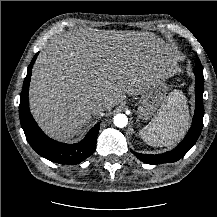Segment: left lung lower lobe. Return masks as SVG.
<instances>
[{"label": "left lung lower lobe", "mask_w": 217, "mask_h": 217, "mask_svg": "<svg viewBox=\"0 0 217 217\" xmlns=\"http://www.w3.org/2000/svg\"><path fill=\"white\" fill-rule=\"evenodd\" d=\"M194 74L196 76V84H195L196 106H195L193 123L190 130L188 131V134L175 149L164 154L146 155V154L133 152L141 161L147 164H161V163L175 162L180 158H182L197 141L203 125L204 107H203L202 95H203L204 78L203 76H199L195 71Z\"/></svg>", "instance_id": "left-lung-lower-lobe-1"}]
</instances>
